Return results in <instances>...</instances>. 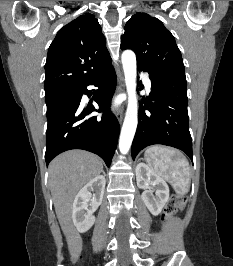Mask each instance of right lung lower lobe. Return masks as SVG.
I'll return each mask as SVG.
<instances>
[{"label":"right lung lower lobe","mask_w":233,"mask_h":266,"mask_svg":"<svg viewBox=\"0 0 233 266\" xmlns=\"http://www.w3.org/2000/svg\"><path fill=\"white\" fill-rule=\"evenodd\" d=\"M116 81L114 68L109 64L90 81L78 87L72 95L47 106V165L66 150L83 149L99 155L110 166L120 132L116 117L109 111ZM88 85L99 87L94 95L99 110L81 104L83 94L91 95L87 90ZM93 111H104L105 114L97 119L96 116H89Z\"/></svg>","instance_id":"98d812e1"}]
</instances>
